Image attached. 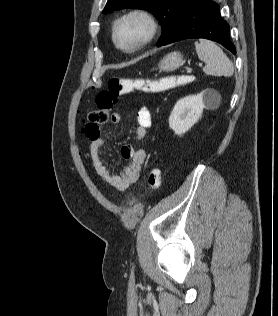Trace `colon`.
Returning a JSON list of instances; mask_svg holds the SVG:
<instances>
[{"label": "colon", "mask_w": 278, "mask_h": 316, "mask_svg": "<svg viewBox=\"0 0 278 316\" xmlns=\"http://www.w3.org/2000/svg\"><path fill=\"white\" fill-rule=\"evenodd\" d=\"M187 82H190V78L172 77L163 80L111 78L107 83V88L96 95V109L90 110L84 114L83 120L86 122L84 130L89 134L97 133L100 125L109 120L110 113L114 109L117 98L120 95L130 93L134 90L158 92L170 85ZM161 183V170L158 167H153L150 169L147 177L149 190H158L161 187Z\"/></svg>", "instance_id": "5ec220e1"}]
</instances>
